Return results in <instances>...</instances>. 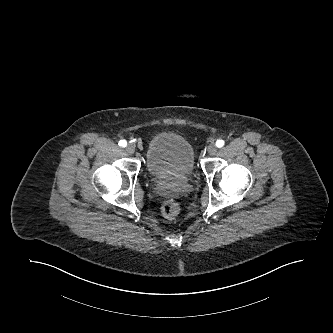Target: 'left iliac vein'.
Wrapping results in <instances>:
<instances>
[{
  "instance_id": "1",
  "label": "left iliac vein",
  "mask_w": 333,
  "mask_h": 333,
  "mask_svg": "<svg viewBox=\"0 0 333 333\" xmlns=\"http://www.w3.org/2000/svg\"><path fill=\"white\" fill-rule=\"evenodd\" d=\"M207 152H208V154H210V155H215L216 152H217V147H216V145L213 144V143H211V144L208 146V148H207Z\"/></svg>"
}]
</instances>
